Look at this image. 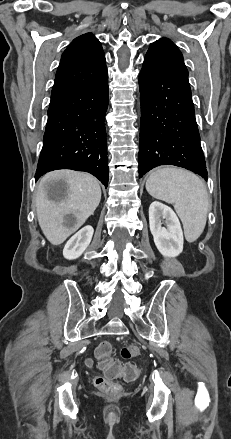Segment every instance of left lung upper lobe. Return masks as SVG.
<instances>
[{
	"label": "left lung upper lobe",
	"instance_id": "left-lung-upper-lobe-1",
	"mask_svg": "<svg viewBox=\"0 0 231 439\" xmlns=\"http://www.w3.org/2000/svg\"><path fill=\"white\" fill-rule=\"evenodd\" d=\"M150 47H157L166 51L170 56H172L186 71V66L183 61V56L180 50L176 47V45L170 41L169 39L162 38L156 42H154ZM188 72V71H187Z\"/></svg>",
	"mask_w": 231,
	"mask_h": 439
}]
</instances>
